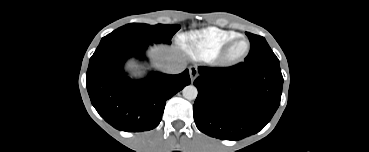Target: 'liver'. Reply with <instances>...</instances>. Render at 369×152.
Wrapping results in <instances>:
<instances>
[{
	"instance_id": "1",
	"label": "liver",
	"mask_w": 369,
	"mask_h": 152,
	"mask_svg": "<svg viewBox=\"0 0 369 152\" xmlns=\"http://www.w3.org/2000/svg\"><path fill=\"white\" fill-rule=\"evenodd\" d=\"M150 57L153 60V64L157 68H162L167 62H184L183 59L178 55L175 49L165 46H155L150 51ZM131 68L134 67L133 63L129 65Z\"/></svg>"
}]
</instances>
